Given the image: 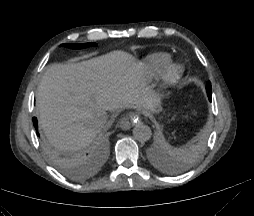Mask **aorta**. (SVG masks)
<instances>
[{
    "mask_svg": "<svg viewBox=\"0 0 254 216\" xmlns=\"http://www.w3.org/2000/svg\"><path fill=\"white\" fill-rule=\"evenodd\" d=\"M133 136L139 142H146L152 136L151 128L143 123H137L133 128Z\"/></svg>",
    "mask_w": 254,
    "mask_h": 216,
    "instance_id": "obj_1",
    "label": "aorta"
}]
</instances>
